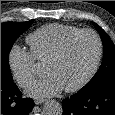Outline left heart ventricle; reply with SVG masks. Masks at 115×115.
I'll use <instances>...</instances> for the list:
<instances>
[{"instance_id":"obj_1","label":"left heart ventricle","mask_w":115,"mask_h":115,"mask_svg":"<svg viewBox=\"0 0 115 115\" xmlns=\"http://www.w3.org/2000/svg\"><path fill=\"white\" fill-rule=\"evenodd\" d=\"M96 56V39L82 35L71 43L60 60L45 65V72L53 75L64 88L71 87L86 77Z\"/></svg>"}]
</instances>
